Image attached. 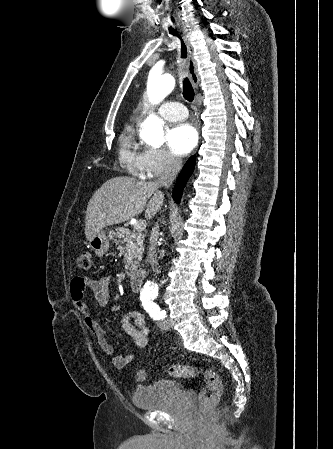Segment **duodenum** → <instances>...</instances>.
Segmentation results:
<instances>
[{"label":"duodenum","mask_w":333,"mask_h":449,"mask_svg":"<svg viewBox=\"0 0 333 449\" xmlns=\"http://www.w3.org/2000/svg\"><path fill=\"white\" fill-rule=\"evenodd\" d=\"M144 280V272L141 270L133 271L129 277V284L134 292H139Z\"/></svg>","instance_id":"obj_1"}]
</instances>
